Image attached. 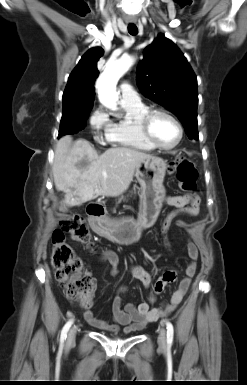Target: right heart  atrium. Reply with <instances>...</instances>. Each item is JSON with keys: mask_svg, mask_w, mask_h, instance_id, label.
<instances>
[{"mask_svg": "<svg viewBox=\"0 0 247 385\" xmlns=\"http://www.w3.org/2000/svg\"><path fill=\"white\" fill-rule=\"evenodd\" d=\"M89 124L93 130L96 139H102V135L106 134L111 127V121L108 114L102 107L96 108L89 117Z\"/></svg>", "mask_w": 247, "mask_h": 385, "instance_id": "right-heart-atrium-1", "label": "right heart atrium"}]
</instances>
